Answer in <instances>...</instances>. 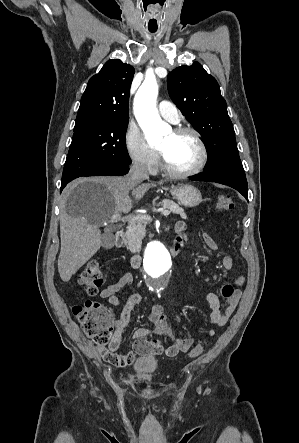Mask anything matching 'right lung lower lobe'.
<instances>
[{
    "mask_svg": "<svg viewBox=\"0 0 299 443\" xmlns=\"http://www.w3.org/2000/svg\"><path fill=\"white\" fill-rule=\"evenodd\" d=\"M128 171H129V164L128 163H116V164H109V165L100 166L98 168L87 171L78 177H81V176H121V175L127 174ZM78 177H76V178H78ZM67 183L68 182L61 183L60 191L63 190V188L66 186Z\"/></svg>",
    "mask_w": 299,
    "mask_h": 443,
    "instance_id": "right-lung-lower-lobe-1",
    "label": "right lung lower lobe"
}]
</instances>
